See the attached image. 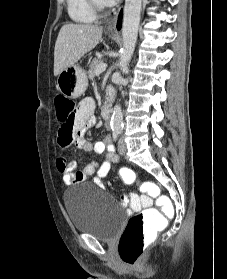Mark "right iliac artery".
Masks as SVG:
<instances>
[{
    "instance_id": "82829eb1",
    "label": "right iliac artery",
    "mask_w": 227,
    "mask_h": 279,
    "mask_svg": "<svg viewBox=\"0 0 227 279\" xmlns=\"http://www.w3.org/2000/svg\"><path fill=\"white\" fill-rule=\"evenodd\" d=\"M120 134V131H114L113 132V140L116 141L118 139V136Z\"/></svg>"
}]
</instances>
